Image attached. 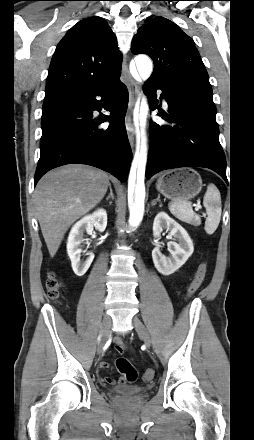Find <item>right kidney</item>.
Here are the masks:
<instances>
[{
	"mask_svg": "<svg viewBox=\"0 0 254 440\" xmlns=\"http://www.w3.org/2000/svg\"><path fill=\"white\" fill-rule=\"evenodd\" d=\"M107 226V213L104 209H99L94 213L83 217L71 229L67 242V253L71 260L72 269L77 276H83L90 267L94 254L89 253L85 261H81V244L85 241L83 233H92L93 227L100 232Z\"/></svg>",
	"mask_w": 254,
	"mask_h": 440,
	"instance_id": "right-kidney-1",
	"label": "right kidney"
}]
</instances>
